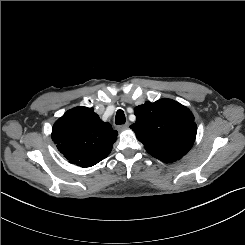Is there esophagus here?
Returning <instances> with one entry per match:
<instances>
[{
	"label": "esophagus",
	"mask_w": 245,
	"mask_h": 245,
	"mask_svg": "<svg viewBox=\"0 0 245 245\" xmlns=\"http://www.w3.org/2000/svg\"><path fill=\"white\" fill-rule=\"evenodd\" d=\"M128 126H129V123L126 122L125 124L119 125V126H118V130H124V129H126Z\"/></svg>",
	"instance_id": "obj_1"
}]
</instances>
